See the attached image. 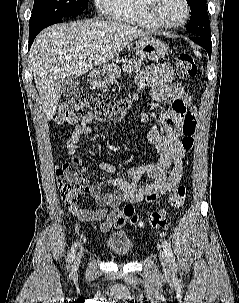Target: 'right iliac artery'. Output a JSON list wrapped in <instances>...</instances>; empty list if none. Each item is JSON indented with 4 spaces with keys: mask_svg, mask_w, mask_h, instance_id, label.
I'll list each match as a JSON object with an SVG mask.
<instances>
[{
    "mask_svg": "<svg viewBox=\"0 0 239 303\" xmlns=\"http://www.w3.org/2000/svg\"><path fill=\"white\" fill-rule=\"evenodd\" d=\"M76 247H77V243H75L71 248V251L68 255V265H70L75 258Z\"/></svg>",
    "mask_w": 239,
    "mask_h": 303,
    "instance_id": "82829eb1",
    "label": "right iliac artery"
}]
</instances>
